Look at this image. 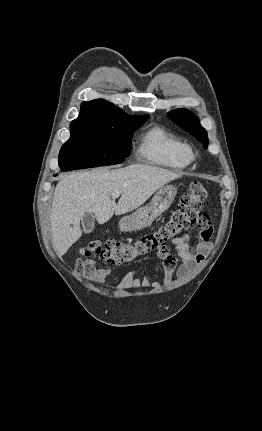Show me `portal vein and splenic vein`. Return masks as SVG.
I'll return each mask as SVG.
<instances>
[{"label": "portal vein and splenic vein", "mask_w": 262, "mask_h": 431, "mask_svg": "<svg viewBox=\"0 0 262 431\" xmlns=\"http://www.w3.org/2000/svg\"><path fill=\"white\" fill-rule=\"evenodd\" d=\"M120 196V192L116 191L112 193V198H118Z\"/></svg>", "instance_id": "obj_1"}]
</instances>
